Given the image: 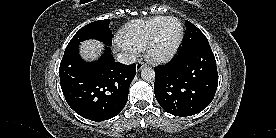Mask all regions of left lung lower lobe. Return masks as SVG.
Wrapping results in <instances>:
<instances>
[{"instance_id":"obj_1","label":"left lung lower lobe","mask_w":276,"mask_h":138,"mask_svg":"<svg viewBox=\"0 0 276 138\" xmlns=\"http://www.w3.org/2000/svg\"><path fill=\"white\" fill-rule=\"evenodd\" d=\"M217 86L216 60L209 43L179 52L171 63L155 69V97L166 112L176 116H191L205 109Z\"/></svg>"}]
</instances>
